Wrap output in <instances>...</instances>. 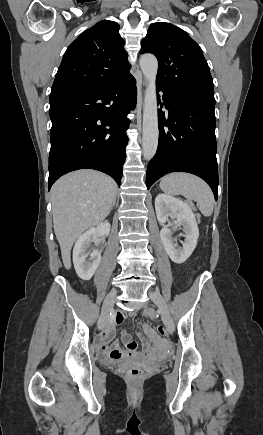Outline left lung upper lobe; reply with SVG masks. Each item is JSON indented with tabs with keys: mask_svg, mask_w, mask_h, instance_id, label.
<instances>
[{
	"mask_svg": "<svg viewBox=\"0 0 263 435\" xmlns=\"http://www.w3.org/2000/svg\"><path fill=\"white\" fill-rule=\"evenodd\" d=\"M142 53L158 59L156 83L177 95L215 105L208 64L199 45L182 29L165 22L150 25Z\"/></svg>",
	"mask_w": 263,
	"mask_h": 435,
	"instance_id": "5c2ea615",
	"label": "left lung upper lobe"
}]
</instances>
